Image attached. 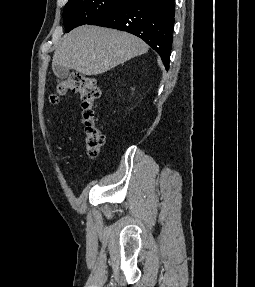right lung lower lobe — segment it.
<instances>
[{"label":"right lung lower lobe","mask_w":255,"mask_h":287,"mask_svg":"<svg viewBox=\"0 0 255 287\" xmlns=\"http://www.w3.org/2000/svg\"><path fill=\"white\" fill-rule=\"evenodd\" d=\"M174 0H127L89 24L132 33L143 39L169 69L174 26Z\"/></svg>","instance_id":"98d812e1"}]
</instances>
